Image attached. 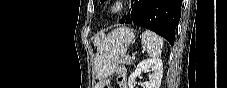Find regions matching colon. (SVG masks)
<instances>
[{
    "mask_svg": "<svg viewBox=\"0 0 227 88\" xmlns=\"http://www.w3.org/2000/svg\"><path fill=\"white\" fill-rule=\"evenodd\" d=\"M98 88H107V86L102 84V85L98 86Z\"/></svg>",
    "mask_w": 227,
    "mask_h": 88,
    "instance_id": "colon-1",
    "label": "colon"
}]
</instances>
